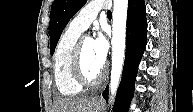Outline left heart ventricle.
<instances>
[{"label":"left heart ventricle","mask_w":193,"mask_h":112,"mask_svg":"<svg viewBox=\"0 0 193 112\" xmlns=\"http://www.w3.org/2000/svg\"><path fill=\"white\" fill-rule=\"evenodd\" d=\"M82 64L84 72L89 78H95L104 66L97 59L93 49V40L90 38H85L83 41Z\"/></svg>","instance_id":"obj_1"}]
</instances>
